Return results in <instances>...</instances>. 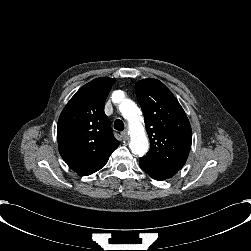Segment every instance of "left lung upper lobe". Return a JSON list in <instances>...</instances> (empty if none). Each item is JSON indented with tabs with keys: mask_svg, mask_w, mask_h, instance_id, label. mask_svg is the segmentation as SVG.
Listing matches in <instances>:
<instances>
[{
	"mask_svg": "<svg viewBox=\"0 0 251 251\" xmlns=\"http://www.w3.org/2000/svg\"><path fill=\"white\" fill-rule=\"evenodd\" d=\"M136 95L150 139L146 157L180 170L188 158L192 142L191 126L183 108L172 92L157 79L138 81Z\"/></svg>",
	"mask_w": 251,
	"mask_h": 251,
	"instance_id": "5c2ea615",
	"label": "left lung upper lobe"
}]
</instances>
